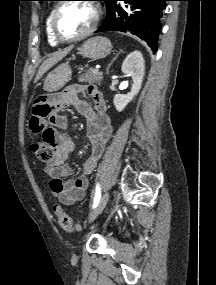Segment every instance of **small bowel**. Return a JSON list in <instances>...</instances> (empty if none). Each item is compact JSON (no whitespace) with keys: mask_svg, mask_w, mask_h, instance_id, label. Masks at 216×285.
Wrapping results in <instances>:
<instances>
[{"mask_svg":"<svg viewBox=\"0 0 216 285\" xmlns=\"http://www.w3.org/2000/svg\"><path fill=\"white\" fill-rule=\"evenodd\" d=\"M84 97L93 100L95 110ZM67 106L75 107L86 119V135L91 144V155L83 163V174L75 179H68L73 170L66 163L74 150V142L56 129H64L68 125L67 116L58 113L59 109ZM30 128L39 136V141L54 148L53 159L44 166V171L50 178L51 194L66 205L83 199L89 184L88 176L95 170L112 134V125L101 92L94 85L73 84L47 102L37 99L32 106Z\"/></svg>","mask_w":216,"mask_h":285,"instance_id":"small-bowel-1","label":"small bowel"}]
</instances>
